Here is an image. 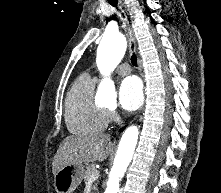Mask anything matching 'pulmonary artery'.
<instances>
[{"mask_svg":"<svg viewBox=\"0 0 221 193\" xmlns=\"http://www.w3.org/2000/svg\"><path fill=\"white\" fill-rule=\"evenodd\" d=\"M131 72V67L128 64H121L118 68H117V73L119 75H127Z\"/></svg>","mask_w":221,"mask_h":193,"instance_id":"obj_1","label":"pulmonary artery"}]
</instances>
